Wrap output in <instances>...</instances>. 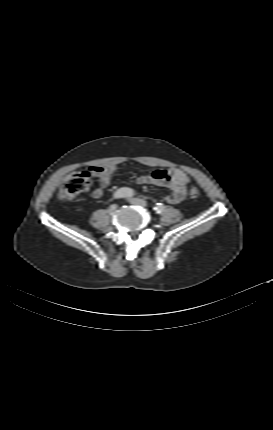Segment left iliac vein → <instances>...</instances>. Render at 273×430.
<instances>
[{
    "instance_id": "4c4485c4",
    "label": "left iliac vein",
    "mask_w": 273,
    "mask_h": 430,
    "mask_svg": "<svg viewBox=\"0 0 273 430\" xmlns=\"http://www.w3.org/2000/svg\"><path fill=\"white\" fill-rule=\"evenodd\" d=\"M128 201L133 205H138L142 207H147V202L140 198H130Z\"/></svg>"
}]
</instances>
